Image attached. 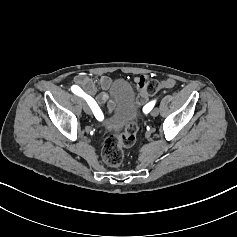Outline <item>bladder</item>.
Returning <instances> with one entry per match:
<instances>
[{
    "label": "bladder",
    "instance_id": "obj_1",
    "mask_svg": "<svg viewBox=\"0 0 237 237\" xmlns=\"http://www.w3.org/2000/svg\"><path fill=\"white\" fill-rule=\"evenodd\" d=\"M137 113L138 109L133 92L128 84H123L121 87V105L114 116L105 119L102 126L106 131L116 133L134 119Z\"/></svg>",
    "mask_w": 237,
    "mask_h": 237
}]
</instances>
